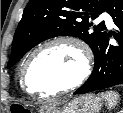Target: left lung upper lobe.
<instances>
[{
  "instance_id": "obj_1",
  "label": "left lung upper lobe",
  "mask_w": 123,
  "mask_h": 113,
  "mask_svg": "<svg viewBox=\"0 0 123 113\" xmlns=\"http://www.w3.org/2000/svg\"><path fill=\"white\" fill-rule=\"evenodd\" d=\"M110 0H30L16 29L8 68L40 42L59 35L75 36L96 52L107 36L104 22L91 20L103 13Z\"/></svg>"
}]
</instances>
